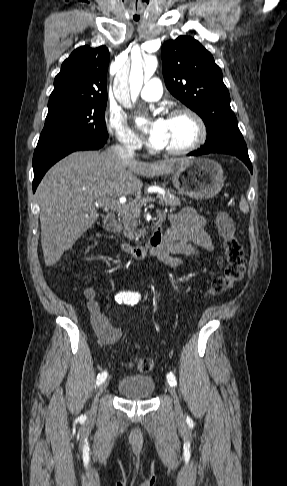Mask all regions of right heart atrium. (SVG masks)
Masks as SVG:
<instances>
[{"label":"right heart atrium","mask_w":287,"mask_h":486,"mask_svg":"<svg viewBox=\"0 0 287 486\" xmlns=\"http://www.w3.org/2000/svg\"><path fill=\"white\" fill-rule=\"evenodd\" d=\"M105 125L108 133L124 149L134 151L140 147V141L119 115L108 113L105 117Z\"/></svg>","instance_id":"obj_1"}]
</instances>
